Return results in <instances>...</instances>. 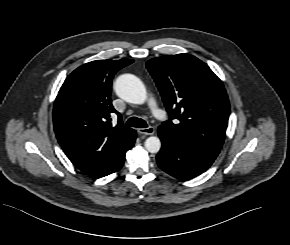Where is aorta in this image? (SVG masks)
<instances>
[{"instance_id": "1", "label": "aorta", "mask_w": 290, "mask_h": 245, "mask_svg": "<svg viewBox=\"0 0 290 245\" xmlns=\"http://www.w3.org/2000/svg\"><path fill=\"white\" fill-rule=\"evenodd\" d=\"M114 89L120 98L132 104H143L147 99L143 82L131 74L119 76L114 83ZM145 148L150 153H158L161 148L160 139L156 136L148 137L145 141Z\"/></svg>"}]
</instances>
